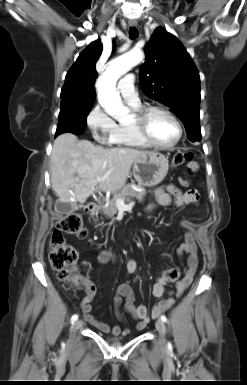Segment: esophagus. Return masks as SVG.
Instances as JSON below:
<instances>
[{"mask_svg": "<svg viewBox=\"0 0 247 385\" xmlns=\"http://www.w3.org/2000/svg\"><path fill=\"white\" fill-rule=\"evenodd\" d=\"M129 26L135 27V26H137V22L136 21H129Z\"/></svg>", "mask_w": 247, "mask_h": 385, "instance_id": "34e87169", "label": "esophagus"}]
</instances>
